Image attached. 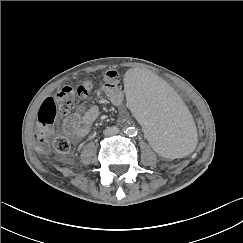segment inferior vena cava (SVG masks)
<instances>
[{
	"label": "inferior vena cava",
	"mask_w": 243,
	"mask_h": 243,
	"mask_svg": "<svg viewBox=\"0 0 243 243\" xmlns=\"http://www.w3.org/2000/svg\"><path fill=\"white\" fill-rule=\"evenodd\" d=\"M119 132V129L117 127H107L105 130H104V135L105 136H112V135H115Z\"/></svg>",
	"instance_id": "inferior-vena-cava-1"
}]
</instances>
